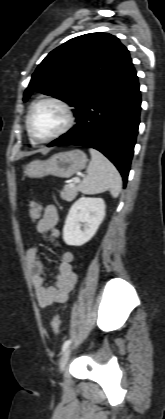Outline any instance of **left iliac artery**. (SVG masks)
<instances>
[{
    "label": "left iliac artery",
    "instance_id": "left-iliac-artery-1",
    "mask_svg": "<svg viewBox=\"0 0 165 419\" xmlns=\"http://www.w3.org/2000/svg\"><path fill=\"white\" fill-rule=\"evenodd\" d=\"M70 343H71V340L65 341L63 346H62V351H65L68 348V346L70 345Z\"/></svg>",
    "mask_w": 165,
    "mask_h": 419
}]
</instances>
